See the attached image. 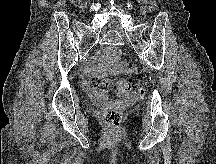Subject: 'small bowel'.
Masks as SVG:
<instances>
[{
  "mask_svg": "<svg viewBox=\"0 0 216 164\" xmlns=\"http://www.w3.org/2000/svg\"><path fill=\"white\" fill-rule=\"evenodd\" d=\"M119 57L116 49H108L100 58V62L94 59L87 68L88 75L92 78L105 77L118 73L120 69L116 66L115 60ZM88 92L91 97L98 101L105 100V92L98 86L95 79L91 80L88 85Z\"/></svg>",
  "mask_w": 216,
  "mask_h": 164,
  "instance_id": "c3829d8e",
  "label": "small bowel"
}]
</instances>
